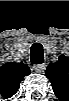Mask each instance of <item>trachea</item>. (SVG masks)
I'll list each match as a JSON object with an SVG mask.
<instances>
[{"label":"trachea","mask_w":69,"mask_h":101,"mask_svg":"<svg viewBox=\"0 0 69 101\" xmlns=\"http://www.w3.org/2000/svg\"><path fill=\"white\" fill-rule=\"evenodd\" d=\"M30 59L33 64H42L44 62V50L40 43H34L31 46Z\"/></svg>","instance_id":"1"}]
</instances>
